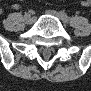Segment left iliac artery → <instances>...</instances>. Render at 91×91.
I'll use <instances>...</instances> for the list:
<instances>
[{"label":"left iliac artery","mask_w":91,"mask_h":91,"mask_svg":"<svg viewBox=\"0 0 91 91\" xmlns=\"http://www.w3.org/2000/svg\"><path fill=\"white\" fill-rule=\"evenodd\" d=\"M60 15H61L63 21H65V22L69 21V17L67 16V14L64 11H61Z\"/></svg>","instance_id":"left-iliac-artery-1"}]
</instances>
